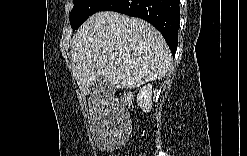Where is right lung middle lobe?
Wrapping results in <instances>:
<instances>
[{"label": "right lung middle lobe", "mask_w": 247, "mask_h": 156, "mask_svg": "<svg viewBox=\"0 0 247 156\" xmlns=\"http://www.w3.org/2000/svg\"><path fill=\"white\" fill-rule=\"evenodd\" d=\"M108 0H73L70 24L77 29L89 16L98 12Z\"/></svg>", "instance_id": "1"}]
</instances>
